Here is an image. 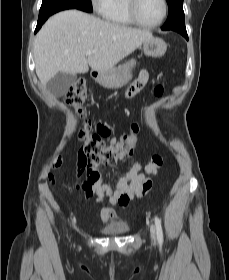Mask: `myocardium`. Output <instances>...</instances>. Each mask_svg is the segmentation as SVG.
Masks as SVG:
<instances>
[{
  "mask_svg": "<svg viewBox=\"0 0 229 280\" xmlns=\"http://www.w3.org/2000/svg\"><path fill=\"white\" fill-rule=\"evenodd\" d=\"M161 2L163 5V12H162L160 19L155 23H146L139 18L138 13H137L138 0H126V8H127L128 14L134 24L141 26V27H145V28H155V27L160 26L165 21L167 14H168L167 0H161Z\"/></svg>",
  "mask_w": 229,
  "mask_h": 280,
  "instance_id": "obj_1",
  "label": "myocardium"
}]
</instances>
